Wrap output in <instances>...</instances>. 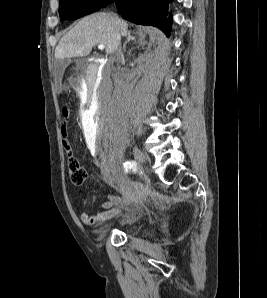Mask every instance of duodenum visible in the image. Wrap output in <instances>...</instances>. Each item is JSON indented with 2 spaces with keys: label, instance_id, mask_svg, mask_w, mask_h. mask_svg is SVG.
Segmentation results:
<instances>
[{
  "label": "duodenum",
  "instance_id": "410a0bca",
  "mask_svg": "<svg viewBox=\"0 0 267 298\" xmlns=\"http://www.w3.org/2000/svg\"><path fill=\"white\" fill-rule=\"evenodd\" d=\"M97 67H86V75H83V91L93 92L94 87H100L101 83L96 80ZM84 112H91L92 101H83Z\"/></svg>",
  "mask_w": 267,
  "mask_h": 298
}]
</instances>
